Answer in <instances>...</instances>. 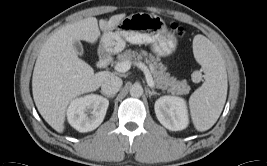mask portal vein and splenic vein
I'll return each instance as SVG.
<instances>
[{
    "mask_svg": "<svg viewBox=\"0 0 267 166\" xmlns=\"http://www.w3.org/2000/svg\"><path fill=\"white\" fill-rule=\"evenodd\" d=\"M137 65L145 73L148 86L151 87V88H154L155 87V84H154V81H153V78H152V75H151L149 69L143 63H141V62L138 63ZM130 67H131V63H129L128 61H126V62H119V63H117L114 68H115V70L117 72L125 73V72H127L130 69Z\"/></svg>",
    "mask_w": 267,
    "mask_h": 166,
    "instance_id": "obj_1",
    "label": "portal vein and splenic vein"
}]
</instances>
